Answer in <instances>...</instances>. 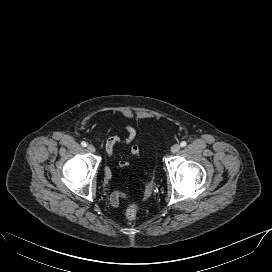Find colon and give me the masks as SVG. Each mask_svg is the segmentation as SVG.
<instances>
[{
	"instance_id": "colon-1",
	"label": "colon",
	"mask_w": 272,
	"mask_h": 272,
	"mask_svg": "<svg viewBox=\"0 0 272 272\" xmlns=\"http://www.w3.org/2000/svg\"><path fill=\"white\" fill-rule=\"evenodd\" d=\"M152 185L151 183H148L145 188V197H148L151 193ZM139 205L138 204H131L128 206V208L125 211V217L128 221H134L136 220L138 213H139Z\"/></svg>"
}]
</instances>
